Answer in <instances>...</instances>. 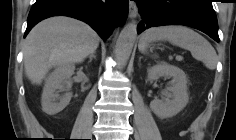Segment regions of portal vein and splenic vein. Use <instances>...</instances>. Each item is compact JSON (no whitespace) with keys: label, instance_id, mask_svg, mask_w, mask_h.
I'll return each mask as SVG.
<instances>
[{"label":"portal vein and splenic vein","instance_id":"obj_1","mask_svg":"<svg viewBox=\"0 0 236 140\" xmlns=\"http://www.w3.org/2000/svg\"><path fill=\"white\" fill-rule=\"evenodd\" d=\"M176 59L178 60V61H181L182 59H183V57L182 56H176Z\"/></svg>","mask_w":236,"mask_h":140}]
</instances>
